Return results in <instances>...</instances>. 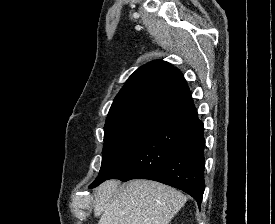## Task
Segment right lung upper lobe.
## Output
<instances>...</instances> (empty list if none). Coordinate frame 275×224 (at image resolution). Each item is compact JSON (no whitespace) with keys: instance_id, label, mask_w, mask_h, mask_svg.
I'll use <instances>...</instances> for the list:
<instances>
[{"instance_id":"right-lung-upper-lobe-1","label":"right lung upper lobe","mask_w":275,"mask_h":224,"mask_svg":"<svg viewBox=\"0 0 275 224\" xmlns=\"http://www.w3.org/2000/svg\"><path fill=\"white\" fill-rule=\"evenodd\" d=\"M187 83L177 68L155 60L138 68L115 97L106 122L147 108L168 109L190 96Z\"/></svg>"}]
</instances>
